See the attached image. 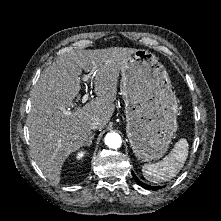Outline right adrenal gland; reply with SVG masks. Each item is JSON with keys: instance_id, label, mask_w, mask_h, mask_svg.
<instances>
[{"instance_id": "right-adrenal-gland-1", "label": "right adrenal gland", "mask_w": 221, "mask_h": 221, "mask_svg": "<svg viewBox=\"0 0 221 221\" xmlns=\"http://www.w3.org/2000/svg\"><path fill=\"white\" fill-rule=\"evenodd\" d=\"M94 138V134H92L91 138L88 140V142L86 143L87 146H90L92 144V140Z\"/></svg>"}]
</instances>
